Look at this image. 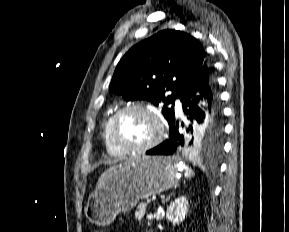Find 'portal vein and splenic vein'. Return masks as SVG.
<instances>
[{
	"label": "portal vein and splenic vein",
	"instance_id": "portal-vein-and-splenic-vein-1",
	"mask_svg": "<svg viewBox=\"0 0 289 232\" xmlns=\"http://www.w3.org/2000/svg\"><path fill=\"white\" fill-rule=\"evenodd\" d=\"M155 200V198H153V199H147V203H151L152 201H154Z\"/></svg>",
	"mask_w": 289,
	"mask_h": 232
}]
</instances>
